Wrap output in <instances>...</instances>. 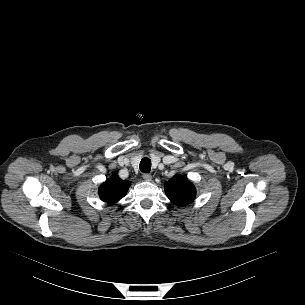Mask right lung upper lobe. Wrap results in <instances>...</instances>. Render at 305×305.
Segmentation results:
<instances>
[{
	"label": "right lung upper lobe",
	"instance_id": "cb5924a9",
	"mask_svg": "<svg viewBox=\"0 0 305 305\" xmlns=\"http://www.w3.org/2000/svg\"><path fill=\"white\" fill-rule=\"evenodd\" d=\"M129 187V181H123L114 174L100 186L99 196L104 202L113 204L126 195Z\"/></svg>",
	"mask_w": 305,
	"mask_h": 305
}]
</instances>
